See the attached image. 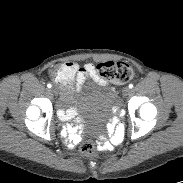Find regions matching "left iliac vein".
<instances>
[{"label": "left iliac vein", "instance_id": "4c4485c4", "mask_svg": "<svg viewBox=\"0 0 183 183\" xmlns=\"http://www.w3.org/2000/svg\"><path fill=\"white\" fill-rule=\"evenodd\" d=\"M130 91H131L130 88L125 87L123 88L122 93L124 96H128L130 94Z\"/></svg>", "mask_w": 183, "mask_h": 183}]
</instances>
